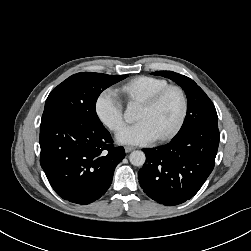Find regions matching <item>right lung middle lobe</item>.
<instances>
[{
  "label": "right lung middle lobe",
  "mask_w": 251,
  "mask_h": 251,
  "mask_svg": "<svg viewBox=\"0 0 251 251\" xmlns=\"http://www.w3.org/2000/svg\"><path fill=\"white\" fill-rule=\"evenodd\" d=\"M127 76L93 72L77 73L70 76L49 94L42 120L60 115H70L101 125L95 110L97 98L103 90Z\"/></svg>",
  "instance_id": "1"
}]
</instances>
